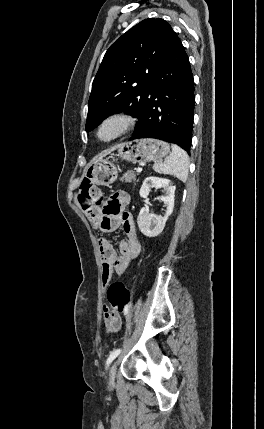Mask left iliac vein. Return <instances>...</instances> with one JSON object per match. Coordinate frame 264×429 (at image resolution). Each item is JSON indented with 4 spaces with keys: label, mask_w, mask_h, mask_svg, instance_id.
Returning a JSON list of instances; mask_svg holds the SVG:
<instances>
[{
    "label": "left iliac vein",
    "mask_w": 264,
    "mask_h": 429,
    "mask_svg": "<svg viewBox=\"0 0 264 429\" xmlns=\"http://www.w3.org/2000/svg\"><path fill=\"white\" fill-rule=\"evenodd\" d=\"M120 362V358H118L114 364L112 365L110 372H109V382L111 385H113L115 383V377H116V370H117V366Z\"/></svg>",
    "instance_id": "left-iliac-vein-1"
}]
</instances>
